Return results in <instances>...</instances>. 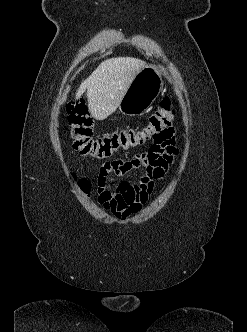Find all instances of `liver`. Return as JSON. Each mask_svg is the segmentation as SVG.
Wrapping results in <instances>:
<instances>
[{
  "mask_svg": "<svg viewBox=\"0 0 247 332\" xmlns=\"http://www.w3.org/2000/svg\"><path fill=\"white\" fill-rule=\"evenodd\" d=\"M145 66L144 61L132 57L107 59L81 83L76 98L87 89L92 117L104 120L116 111L132 80Z\"/></svg>",
  "mask_w": 247,
  "mask_h": 332,
  "instance_id": "obj_1",
  "label": "liver"
}]
</instances>
